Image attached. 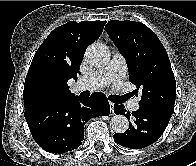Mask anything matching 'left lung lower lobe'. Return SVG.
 I'll return each mask as SVG.
<instances>
[{"instance_id": "1", "label": "left lung lower lobe", "mask_w": 196, "mask_h": 166, "mask_svg": "<svg viewBox=\"0 0 196 166\" xmlns=\"http://www.w3.org/2000/svg\"><path fill=\"white\" fill-rule=\"evenodd\" d=\"M116 114H124L128 118L130 113H125L124 105H114ZM133 121L130 122L129 129L122 133H115L114 141L123 147L130 149L144 148L160 138L164 132L171 114L161 110L139 107L135 112H132Z\"/></svg>"}]
</instances>
